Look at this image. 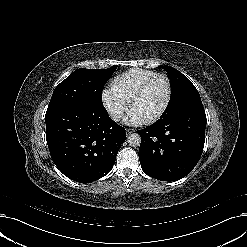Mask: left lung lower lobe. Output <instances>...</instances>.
Listing matches in <instances>:
<instances>
[{"mask_svg":"<svg viewBox=\"0 0 247 247\" xmlns=\"http://www.w3.org/2000/svg\"><path fill=\"white\" fill-rule=\"evenodd\" d=\"M205 127L206 114L200 102L138 130L142 170L162 181L185 177L201 157Z\"/></svg>","mask_w":247,"mask_h":247,"instance_id":"1","label":"left lung lower lobe"}]
</instances>
